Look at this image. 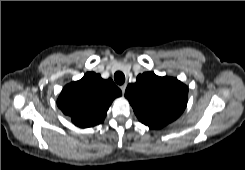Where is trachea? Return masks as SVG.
<instances>
[{
    "mask_svg": "<svg viewBox=\"0 0 245 170\" xmlns=\"http://www.w3.org/2000/svg\"><path fill=\"white\" fill-rule=\"evenodd\" d=\"M114 80L118 85H122L125 82V75L122 72L117 71L114 74Z\"/></svg>",
    "mask_w": 245,
    "mask_h": 170,
    "instance_id": "1",
    "label": "trachea"
}]
</instances>
